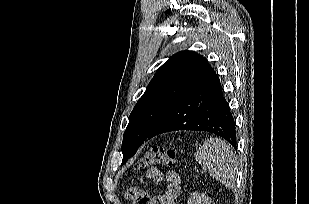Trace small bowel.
<instances>
[{
    "instance_id": "obj_1",
    "label": "small bowel",
    "mask_w": 309,
    "mask_h": 204,
    "mask_svg": "<svg viewBox=\"0 0 309 204\" xmlns=\"http://www.w3.org/2000/svg\"><path fill=\"white\" fill-rule=\"evenodd\" d=\"M152 180L157 183L167 181L168 185L166 191L159 193L153 197H148L138 187H130L126 191V197L139 204L140 198H145L144 204H176V199L181 192L180 179L176 172L172 170H162L157 167H150L146 170L141 178V181Z\"/></svg>"
}]
</instances>
